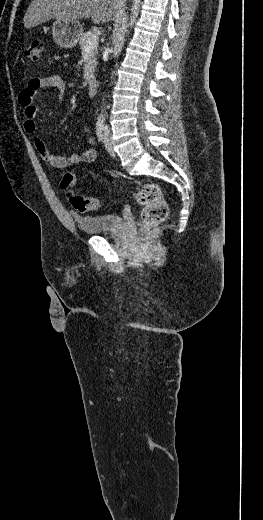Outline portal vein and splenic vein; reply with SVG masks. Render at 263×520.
<instances>
[{"label":"portal vein and splenic vein","mask_w":263,"mask_h":520,"mask_svg":"<svg viewBox=\"0 0 263 520\" xmlns=\"http://www.w3.org/2000/svg\"><path fill=\"white\" fill-rule=\"evenodd\" d=\"M98 44V35L94 34L92 38L87 41V49L94 48Z\"/></svg>","instance_id":"portal-vein-and-splenic-vein-1"}]
</instances>
